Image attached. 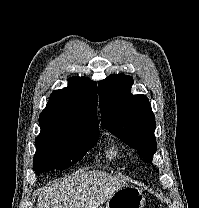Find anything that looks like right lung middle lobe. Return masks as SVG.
<instances>
[{
  "mask_svg": "<svg viewBox=\"0 0 199 208\" xmlns=\"http://www.w3.org/2000/svg\"><path fill=\"white\" fill-rule=\"evenodd\" d=\"M36 138V172L67 169L81 160L97 142L99 129L42 126Z\"/></svg>",
  "mask_w": 199,
  "mask_h": 208,
  "instance_id": "1",
  "label": "right lung middle lobe"
}]
</instances>
